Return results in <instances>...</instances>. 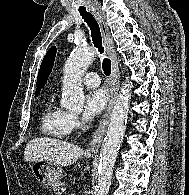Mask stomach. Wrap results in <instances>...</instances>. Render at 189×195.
<instances>
[{"instance_id":"stomach-1","label":"stomach","mask_w":189,"mask_h":195,"mask_svg":"<svg viewBox=\"0 0 189 195\" xmlns=\"http://www.w3.org/2000/svg\"><path fill=\"white\" fill-rule=\"evenodd\" d=\"M93 154H87V157L92 158ZM31 170L36 179L45 186H53L59 182L62 174V167L54 161L42 159L35 161L31 165Z\"/></svg>"}]
</instances>
